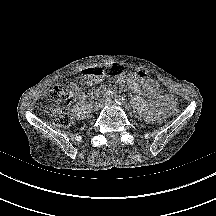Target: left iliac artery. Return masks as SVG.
<instances>
[{
    "label": "left iliac artery",
    "instance_id": "44dca946",
    "mask_svg": "<svg viewBox=\"0 0 216 216\" xmlns=\"http://www.w3.org/2000/svg\"><path fill=\"white\" fill-rule=\"evenodd\" d=\"M115 102L118 104V105H125L126 104V101H125V98L123 96H115Z\"/></svg>",
    "mask_w": 216,
    "mask_h": 216
}]
</instances>
